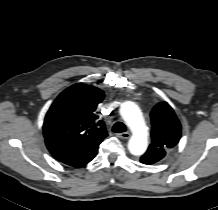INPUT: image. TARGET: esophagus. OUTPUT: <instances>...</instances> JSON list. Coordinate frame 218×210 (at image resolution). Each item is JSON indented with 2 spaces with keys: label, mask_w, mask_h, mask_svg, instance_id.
Listing matches in <instances>:
<instances>
[{
  "label": "esophagus",
  "mask_w": 218,
  "mask_h": 210,
  "mask_svg": "<svg viewBox=\"0 0 218 210\" xmlns=\"http://www.w3.org/2000/svg\"><path fill=\"white\" fill-rule=\"evenodd\" d=\"M117 137L122 138V139H128L130 137V133L129 132L119 133L117 134Z\"/></svg>",
  "instance_id": "obj_1"
}]
</instances>
